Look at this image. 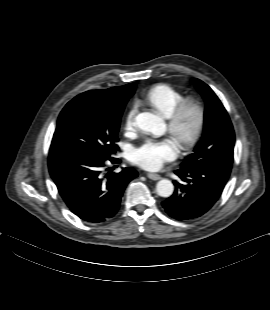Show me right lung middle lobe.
I'll list each match as a JSON object with an SVG mask.
<instances>
[{"mask_svg": "<svg viewBox=\"0 0 270 310\" xmlns=\"http://www.w3.org/2000/svg\"><path fill=\"white\" fill-rule=\"evenodd\" d=\"M122 112L95 91L76 96L59 115L50 154L108 160L119 149L116 142Z\"/></svg>", "mask_w": 270, "mask_h": 310, "instance_id": "1", "label": "right lung middle lobe"}]
</instances>
